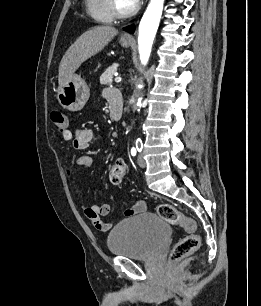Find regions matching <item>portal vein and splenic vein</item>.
Masks as SVG:
<instances>
[{
  "instance_id": "obj_1",
  "label": "portal vein and splenic vein",
  "mask_w": 261,
  "mask_h": 306,
  "mask_svg": "<svg viewBox=\"0 0 261 306\" xmlns=\"http://www.w3.org/2000/svg\"><path fill=\"white\" fill-rule=\"evenodd\" d=\"M121 80H122V78H121V77H119V76L115 78V82H116V83L121 82Z\"/></svg>"
}]
</instances>
